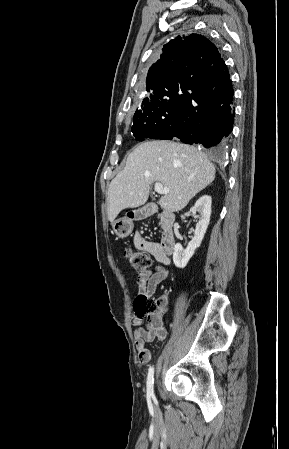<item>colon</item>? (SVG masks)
Segmentation results:
<instances>
[{
  "label": "colon",
  "instance_id": "1",
  "mask_svg": "<svg viewBox=\"0 0 289 449\" xmlns=\"http://www.w3.org/2000/svg\"><path fill=\"white\" fill-rule=\"evenodd\" d=\"M124 256L128 263L139 273H145L152 267V259L150 255L142 250L126 249ZM163 307L162 299H152L147 296H139L135 300V309L140 315L147 317L160 316L159 312Z\"/></svg>",
  "mask_w": 289,
  "mask_h": 449
}]
</instances>
